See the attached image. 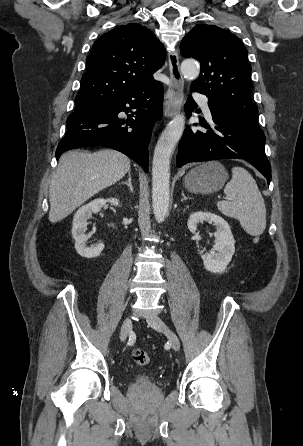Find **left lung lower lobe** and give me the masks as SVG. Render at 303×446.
Segmentation results:
<instances>
[{
  "instance_id": "1",
  "label": "left lung lower lobe",
  "mask_w": 303,
  "mask_h": 446,
  "mask_svg": "<svg viewBox=\"0 0 303 446\" xmlns=\"http://www.w3.org/2000/svg\"><path fill=\"white\" fill-rule=\"evenodd\" d=\"M208 105L215 126L210 128L202 124L210 129L203 132L189 126L185 129L176 159L178 167L194 161L241 158L258 169L270 183L271 166L265 155L266 138L262 129L219 101L208 99ZM196 107L193 98L189 97L185 105L188 116Z\"/></svg>"
}]
</instances>
